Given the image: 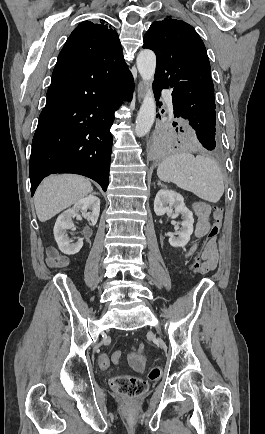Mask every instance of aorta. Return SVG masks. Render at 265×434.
<instances>
[{
	"instance_id": "aorta-1",
	"label": "aorta",
	"mask_w": 265,
	"mask_h": 434,
	"mask_svg": "<svg viewBox=\"0 0 265 434\" xmlns=\"http://www.w3.org/2000/svg\"><path fill=\"white\" fill-rule=\"evenodd\" d=\"M136 64L137 70L144 84H146V94L135 122V134L138 138H143L150 132L156 116V104L151 88L156 70L154 52L152 50H142L137 56Z\"/></svg>"
}]
</instances>
